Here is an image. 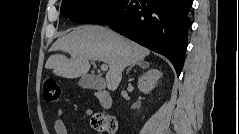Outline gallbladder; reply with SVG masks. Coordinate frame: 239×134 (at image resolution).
<instances>
[{"label":"gallbladder","mask_w":239,"mask_h":134,"mask_svg":"<svg viewBox=\"0 0 239 134\" xmlns=\"http://www.w3.org/2000/svg\"><path fill=\"white\" fill-rule=\"evenodd\" d=\"M78 84L83 88L90 89H102L104 87L102 80L93 75L82 76Z\"/></svg>","instance_id":"obj_1"}]
</instances>
